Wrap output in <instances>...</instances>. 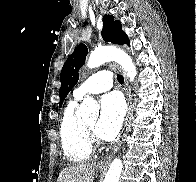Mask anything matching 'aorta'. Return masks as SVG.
Returning <instances> with one entry per match:
<instances>
[{
  "label": "aorta",
  "instance_id": "1",
  "mask_svg": "<svg viewBox=\"0 0 196 182\" xmlns=\"http://www.w3.org/2000/svg\"><path fill=\"white\" fill-rule=\"evenodd\" d=\"M116 61L127 72V76L132 82L137 74L136 68L132 62L131 57L125 52L114 47L98 48L91 52L87 62L89 68L98 67L106 62ZM78 116L83 119L96 120L99 115V105L92 97H87L81 103L77 112ZM123 169L122 161L115 158L106 173L104 182H119V178Z\"/></svg>",
  "mask_w": 196,
  "mask_h": 182
}]
</instances>
